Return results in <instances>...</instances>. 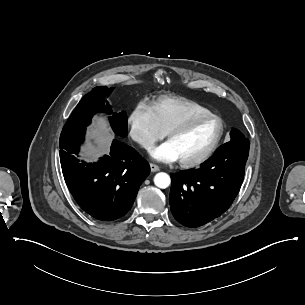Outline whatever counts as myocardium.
Returning a JSON list of instances; mask_svg holds the SVG:
<instances>
[{
	"label": "myocardium",
	"mask_w": 305,
	"mask_h": 305,
	"mask_svg": "<svg viewBox=\"0 0 305 305\" xmlns=\"http://www.w3.org/2000/svg\"><path fill=\"white\" fill-rule=\"evenodd\" d=\"M210 118H217L221 122V132H220L218 139L207 151H205L200 156L193 158V159L180 160V163L182 166H184L186 168H192V167L200 165V164L206 162L207 160H209L218 151V149L221 147V145L224 143L226 135H227V131H228L227 124L221 115H219L215 112L209 111L206 114H201V115H196V116L186 118V119L180 121L179 123L173 125L167 131V138L170 139L174 134L183 132L184 130L189 128L191 125H193L195 123L206 121Z\"/></svg>",
	"instance_id": "f54148a6"
}]
</instances>
